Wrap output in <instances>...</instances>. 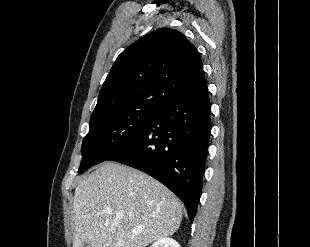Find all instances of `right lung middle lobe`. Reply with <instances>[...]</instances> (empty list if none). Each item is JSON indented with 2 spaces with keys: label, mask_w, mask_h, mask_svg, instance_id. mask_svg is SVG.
<instances>
[{
  "label": "right lung middle lobe",
  "mask_w": 310,
  "mask_h": 247,
  "mask_svg": "<svg viewBox=\"0 0 310 247\" xmlns=\"http://www.w3.org/2000/svg\"><path fill=\"white\" fill-rule=\"evenodd\" d=\"M148 107L128 108L90 119V130L82 142L78 172L107 160L123 149L157 112Z\"/></svg>",
  "instance_id": "obj_1"
}]
</instances>
